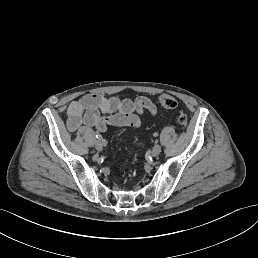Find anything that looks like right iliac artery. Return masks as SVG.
Returning a JSON list of instances; mask_svg holds the SVG:
<instances>
[{"mask_svg":"<svg viewBox=\"0 0 258 258\" xmlns=\"http://www.w3.org/2000/svg\"><path fill=\"white\" fill-rule=\"evenodd\" d=\"M96 138L99 139V140H101V139H102V136H101L100 134H97V135H96Z\"/></svg>","mask_w":258,"mask_h":258,"instance_id":"obj_1","label":"right iliac artery"}]
</instances>
